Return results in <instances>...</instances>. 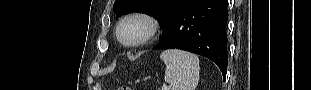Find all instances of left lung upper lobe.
<instances>
[{
  "mask_svg": "<svg viewBox=\"0 0 311 90\" xmlns=\"http://www.w3.org/2000/svg\"><path fill=\"white\" fill-rule=\"evenodd\" d=\"M198 0H116L113 10L117 17L130 12L154 16L167 34L178 16Z\"/></svg>",
  "mask_w": 311,
  "mask_h": 90,
  "instance_id": "5c2ea615",
  "label": "left lung upper lobe"
}]
</instances>
